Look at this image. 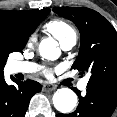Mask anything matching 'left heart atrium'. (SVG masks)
<instances>
[{"label":"left heart atrium","mask_w":117,"mask_h":117,"mask_svg":"<svg viewBox=\"0 0 117 117\" xmlns=\"http://www.w3.org/2000/svg\"><path fill=\"white\" fill-rule=\"evenodd\" d=\"M45 74L50 75V70L49 69L45 70Z\"/></svg>","instance_id":"1"}]
</instances>
